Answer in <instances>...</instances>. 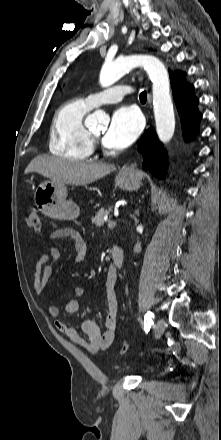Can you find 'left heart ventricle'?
Returning <instances> with one entry per match:
<instances>
[{
    "label": "left heart ventricle",
    "instance_id": "left-heart-ventricle-1",
    "mask_svg": "<svg viewBox=\"0 0 221 440\" xmlns=\"http://www.w3.org/2000/svg\"><path fill=\"white\" fill-rule=\"evenodd\" d=\"M93 133L96 135V136H100L101 135V131H93Z\"/></svg>",
    "mask_w": 221,
    "mask_h": 440
}]
</instances>
